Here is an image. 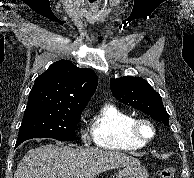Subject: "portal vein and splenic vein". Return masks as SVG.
<instances>
[{"label": "portal vein and splenic vein", "mask_w": 194, "mask_h": 178, "mask_svg": "<svg viewBox=\"0 0 194 178\" xmlns=\"http://www.w3.org/2000/svg\"><path fill=\"white\" fill-rule=\"evenodd\" d=\"M62 178H70L69 176H63Z\"/></svg>", "instance_id": "18ae733b"}]
</instances>
